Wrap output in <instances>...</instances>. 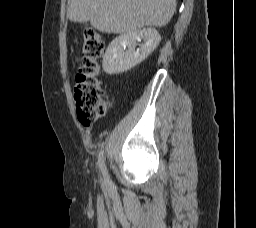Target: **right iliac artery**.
Returning a JSON list of instances; mask_svg holds the SVG:
<instances>
[{
	"mask_svg": "<svg viewBox=\"0 0 256 228\" xmlns=\"http://www.w3.org/2000/svg\"><path fill=\"white\" fill-rule=\"evenodd\" d=\"M98 163H99L100 171L104 177V182L109 184V176L103 160V151L100 152L99 154Z\"/></svg>",
	"mask_w": 256,
	"mask_h": 228,
	"instance_id": "1",
	"label": "right iliac artery"
}]
</instances>
